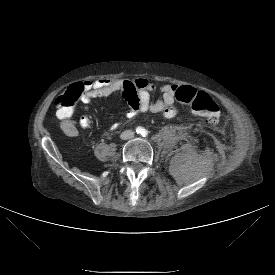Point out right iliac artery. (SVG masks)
Wrapping results in <instances>:
<instances>
[{"label": "right iliac artery", "mask_w": 275, "mask_h": 275, "mask_svg": "<svg viewBox=\"0 0 275 275\" xmlns=\"http://www.w3.org/2000/svg\"><path fill=\"white\" fill-rule=\"evenodd\" d=\"M136 132H137V133H141V134H142V132H143L142 127H137V128H136Z\"/></svg>", "instance_id": "82829eb1"}]
</instances>
